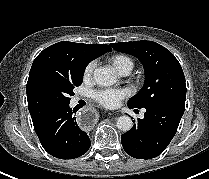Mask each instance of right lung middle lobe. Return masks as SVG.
Returning a JSON list of instances; mask_svg holds the SVG:
<instances>
[{"instance_id": "right-lung-middle-lobe-1", "label": "right lung middle lobe", "mask_w": 209, "mask_h": 179, "mask_svg": "<svg viewBox=\"0 0 209 179\" xmlns=\"http://www.w3.org/2000/svg\"><path fill=\"white\" fill-rule=\"evenodd\" d=\"M85 69L72 73L40 71L27 82L28 109L36 122L54 109L68 104L74 87L80 86Z\"/></svg>"}]
</instances>
